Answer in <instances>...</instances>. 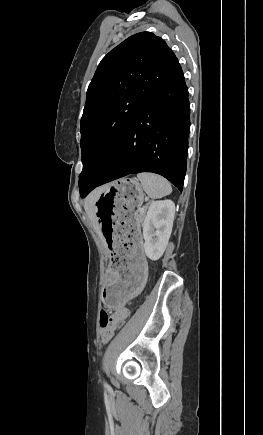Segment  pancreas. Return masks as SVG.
<instances>
[{
  "mask_svg": "<svg viewBox=\"0 0 263 435\" xmlns=\"http://www.w3.org/2000/svg\"><path fill=\"white\" fill-rule=\"evenodd\" d=\"M147 206L144 207V211L140 212L139 211V215H138V221L139 222H143L144 218H145V214H146V210H147Z\"/></svg>",
  "mask_w": 263,
  "mask_h": 435,
  "instance_id": "obj_1",
  "label": "pancreas"
}]
</instances>
